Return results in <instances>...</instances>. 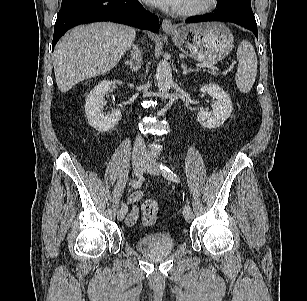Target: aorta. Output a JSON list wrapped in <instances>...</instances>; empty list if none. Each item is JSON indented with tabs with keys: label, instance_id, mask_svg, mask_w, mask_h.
<instances>
[{
	"label": "aorta",
	"instance_id": "aorta-1",
	"mask_svg": "<svg viewBox=\"0 0 307 301\" xmlns=\"http://www.w3.org/2000/svg\"><path fill=\"white\" fill-rule=\"evenodd\" d=\"M156 79L158 82L159 94L162 99H166L170 86L173 83L171 65L167 60H161L156 69Z\"/></svg>",
	"mask_w": 307,
	"mask_h": 301
}]
</instances>
